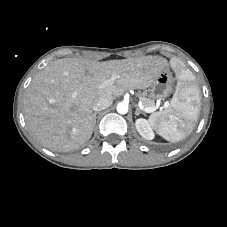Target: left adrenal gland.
Wrapping results in <instances>:
<instances>
[{"label":"left adrenal gland","mask_w":227,"mask_h":227,"mask_svg":"<svg viewBox=\"0 0 227 227\" xmlns=\"http://www.w3.org/2000/svg\"><path fill=\"white\" fill-rule=\"evenodd\" d=\"M135 108H136V111H135V115L136 116H138L140 113L143 114V115H145V113L142 112L137 105H135Z\"/></svg>","instance_id":"left-adrenal-gland-1"}]
</instances>
